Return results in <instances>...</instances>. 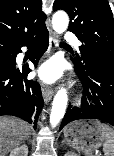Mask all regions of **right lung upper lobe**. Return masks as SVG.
<instances>
[{
	"mask_svg": "<svg viewBox=\"0 0 114 156\" xmlns=\"http://www.w3.org/2000/svg\"><path fill=\"white\" fill-rule=\"evenodd\" d=\"M41 0H0V45L20 39L45 25Z\"/></svg>",
	"mask_w": 114,
	"mask_h": 156,
	"instance_id": "obj_1",
	"label": "right lung upper lobe"
}]
</instances>
